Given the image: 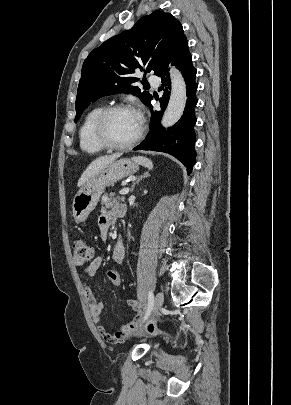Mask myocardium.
Here are the masks:
<instances>
[{
  "label": "myocardium",
  "instance_id": "1",
  "mask_svg": "<svg viewBox=\"0 0 291 405\" xmlns=\"http://www.w3.org/2000/svg\"><path fill=\"white\" fill-rule=\"evenodd\" d=\"M120 110H134L136 109L125 103H117L110 106L103 108V110L97 116L94 127H93V134L96 141L106 149L111 150H127L134 147L143 137L144 134V124L143 119L141 117V126L137 133V135L129 142L124 144L115 143L108 137L107 134V122L109 117L116 111ZM137 112V111H136Z\"/></svg>",
  "mask_w": 291,
  "mask_h": 405
}]
</instances>
